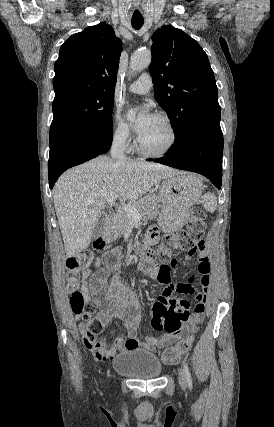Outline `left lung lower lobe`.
Instances as JSON below:
<instances>
[{"instance_id":"obj_1","label":"left lung lower lobe","mask_w":274,"mask_h":427,"mask_svg":"<svg viewBox=\"0 0 274 427\" xmlns=\"http://www.w3.org/2000/svg\"><path fill=\"white\" fill-rule=\"evenodd\" d=\"M223 135L221 128H204L167 155L149 159L174 168L200 173L220 189L222 183Z\"/></svg>"}]
</instances>
